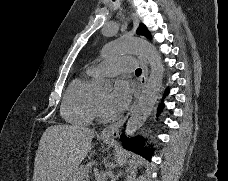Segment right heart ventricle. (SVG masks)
<instances>
[{"label": "right heart ventricle", "mask_w": 228, "mask_h": 181, "mask_svg": "<svg viewBox=\"0 0 228 181\" xmlns=\"http://www.w3.org/2000/svg\"><path fill=\"white\" fill-rule=\"evenodd\" d=\"M95 77V73L87 69L72 80L62 106L66 120L85 124L95 118L98 113V100L92 90Z\"/></svg>", "instance_id": "1"}]
</instances>
